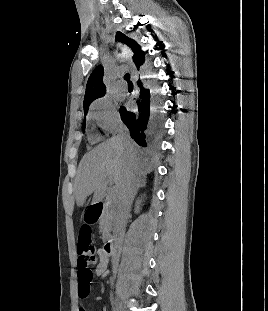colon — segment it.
<instances>
[{
    "mask_svg": "<svg viewBox=\"0 0 268 311\" xmlns=\"http://www.w3.org/2000/svg\"><path fill=\"white\" fill-rule=\"evenodd\" d=\"M77 255L79 295L86 297L89 294L90 283L93 279V272L89 266L95 260V246L89 226H83L80 229L77 242Z\"/></svg>",
    "mask_w": 268,
    "mask_h": 311,
    "instance_id": "1",
    "label": "colon"
}]
</instances>
